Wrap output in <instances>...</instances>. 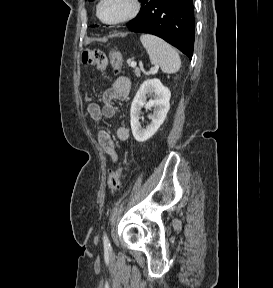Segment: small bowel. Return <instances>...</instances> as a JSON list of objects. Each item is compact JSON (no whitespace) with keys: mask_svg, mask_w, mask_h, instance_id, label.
<instances>
[{"mask_svg":"<svg viewBox=\"0 0 273 288\" xmlns=\"http://www.w3.org/2000/svg\"><path fill=\"white\" fill-rule=\"evenodd\" d=\"M130 80L126 77H118L111 86L105 90L102 96V104L93 102L88 106V113L93 121L99 123L103 118H111L115 115L116 109L114 101L124 100L130 92ZM117 140L124 142L129 137L126 126L118 127L116 131ZM98 143L102 149L113 159H116L115 145L110 133L100 130L98 133Z\"/></svg>","mask_w":273,"mask_h":288,"instance_id":"1","label":"small bowel"}]
</instances>
